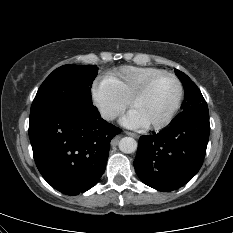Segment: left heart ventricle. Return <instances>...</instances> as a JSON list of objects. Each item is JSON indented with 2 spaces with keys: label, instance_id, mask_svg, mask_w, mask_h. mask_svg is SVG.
<instances>
[{
  "label": "left heart ventricle",
  "instance_id": "left-heart-ventricle-1",
  "mask_svg": "<svg viewBox=\"0 0 233 233\" xmlns=\"http://www.w3.org/2000/svg\"><path fill=\"white\" fill-rule=\"evenodd\" d=\"M177 97L176 82L171 78L163 77L151 86L131 110L138 113L148 124L157 123L166 118L174 107Z\"/></svg>",
  "mask_w": 233,
  "mask_h": 233
}]
</instances>
